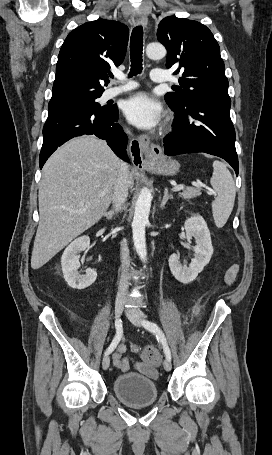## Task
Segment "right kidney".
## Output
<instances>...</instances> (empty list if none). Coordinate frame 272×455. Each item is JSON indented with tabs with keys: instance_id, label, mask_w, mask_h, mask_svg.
Wrapping results in <instances>:
<instances>
[{
	"instance_id": "right-kidney-1",
	"label": "right kidney",
	"mask_w": 272,
	"mask_h": 455,
	"mask_svg": "<svg viewBox=\"0 0 272 455\" xmlns=\"http://www.w3.org/2000/svg\"><path fill=\"white\" fill-rule=\"evenodd\" d=\"M89 245L90 238L88 236H81L71 242L63 252L61 258L62 271L65 281L72 288H87L92 285L97 278V273L93 269H87L85 275L80 274L78 271L80 267L78 253L88 248Z\"/></svg>"
}]
</instances>
